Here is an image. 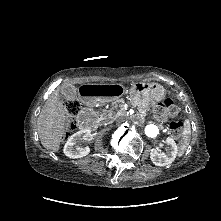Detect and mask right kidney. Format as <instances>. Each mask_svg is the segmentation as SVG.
<instances>
[{"mask_svg": "<svg viewBox=\"0 0 221 221\" xmlns=\"http://www.w3.org/2000/svg\"><path fill=\"white\" fill-rule=\"evenodd\" d=\"M91 136L90 130H81L70 136L64 146L63 152L70 158H81L90 153L89 147H80L77 144L88 140Z\"/></svg>", "mask_w": 221, "mask_h": 221, "instance_id": "1", "label": "right kidney"}]
</instances>
